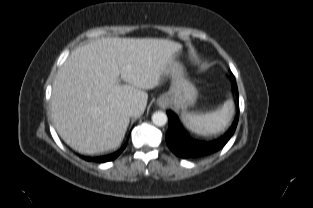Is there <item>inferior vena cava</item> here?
Returning <instances> with one entry per match:
<instances>
[{
    "mask_svg": "<svg viewBox=\"0 0 313 208\" xmlns=\"http://www.w3.org/2000/svg\"><path fill=\"white\" fill-rule=\"evenodd\" d=\"M136 108V102L128 101L121 105L120 112L126 116H132Z\"/></svg>",
    "mask_w": 313,
    "mask_h": 208,
    "instance_id": "602c4592",
    "label": "inferior vena cava"
}]
</instances>
